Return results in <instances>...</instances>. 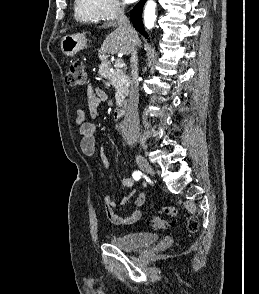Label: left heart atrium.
Here are the masks:
<instances>
[{"label": "left heart atrium", "instance_id": "1", "mask_svg": "<svg viewBox=\"0 0 259 294\" xmlns=\"http://www.w3.org/2000/svg\"><path fill=\"white\" fill-rule=\"evenodd\" d=\"M126 3H132V2H135L137 0H124Z\"/></svg>", "mask_w": 259, "mask_h": 294}]
</instances>
